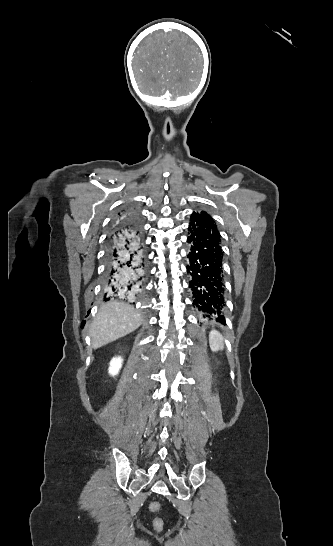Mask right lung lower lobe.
<instances>
[{"mask_svg": "<svg viewBox=\"0 0 333 546\" xmlns=\"http://www.w3.org/2000/svg\"><path fill=\"white\" fill-rule=\"evenodd\" d=\"M104 299L112 293L133 298L143 288L145 250L139 228L116 226L107 239Z\"/></svg>", "mask_w": 333, "mask_h": 546, "instance_id": "obj_1", "label": "right lung lower lobe"}]
</instances>
